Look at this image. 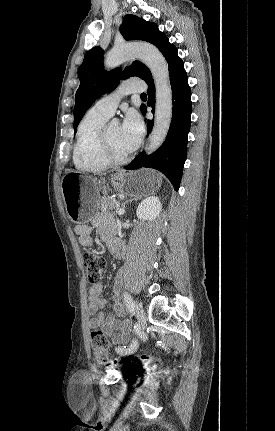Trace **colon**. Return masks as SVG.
Returning a JSON list of instances; mask_svg holds the SVG:
<instances>
[{"label": "colon", "instance_id": "obj_1", "mask_svg": "<svg viewBox=\"0 0 275 431\" xmlns=\"http://www.w3.org/2000/svg\"><path fill=\"white\" fill-rule=\"evenodd\" d=\"M83 265L86 270L87 278L89 282L97 284L104 273L105 259L95 252H87L83 255ZM91 346L95 355L96 360L105 365H112L113 362L108 358V340L105 333L99 329L94 328L90 332ZM144 361H153V357L143 356ZM123 360V363H126Z\"/></svg>", "mask_w": 275, "mask_h": 431}]
</instances>
